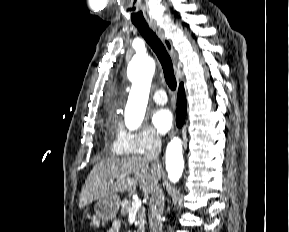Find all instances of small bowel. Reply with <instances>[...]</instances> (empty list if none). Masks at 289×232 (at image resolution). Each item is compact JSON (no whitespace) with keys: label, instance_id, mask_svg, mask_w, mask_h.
Segmentation results:
<instances>
[{"label":"small bowel","instance_id":"c3829d8e","mask_svg":"<svg viewBox=\"0 0 289 232\" xmlns=\"http://www.w3.org/2000/svg\"><path fill=\"white\" fill-rule=\"evenodd\" d=\"M120 224L119 222L115 221L112 223L111 227L106 232H119Z\"/></svg>","mask_w":289,"mask_h":232}]
</instances>
